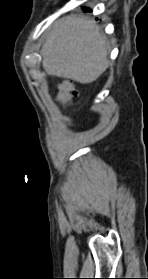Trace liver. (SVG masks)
<instances>
[{"label": "liver", "mask_w": 148, "mask_h": 279, "mask_svg": "<svg viewBox=\"0 0 148 279\" xmlns=\"http://www.w3.org/2000/svg\"><path fill=\"white\" fill-rule=\"evenodd\" d=\"M41 54L53 76L87 84L108 68L106 38L92 20L67 16L47 32Z\"/></svg>", "instance_id": "1"}]
</instances>
